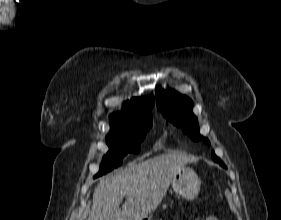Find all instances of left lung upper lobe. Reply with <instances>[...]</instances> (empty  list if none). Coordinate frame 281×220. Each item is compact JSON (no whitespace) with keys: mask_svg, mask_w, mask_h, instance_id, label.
<instances>
[{"mask_svg":"<svg viewBox=\"0 0 281 220\" xmlns=\"http://www.w3.org/2000/svg\"><path fill=\"white\" fill-rule=\"evenodd\" d=\"M157 107L162 115L176 126L183 129L187 135L195 141L203 139L210 144L207 138L199 134L198 120L192 112V101L187 96H182L174 90H157L156 91ZM212 158L222 167L225 164L212 153Z\"/></svg>","mask_w":281,"mask_h":220,"instance_id":"obj_1","label":"left lung upper lobe"}]
</instances>
